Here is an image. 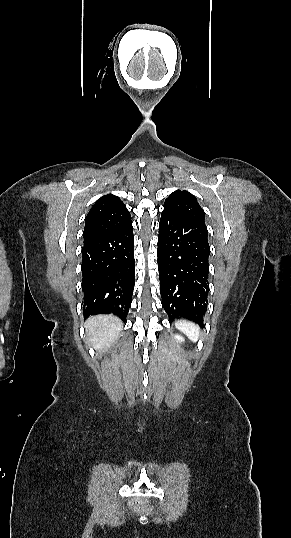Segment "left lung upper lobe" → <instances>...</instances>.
<instances>
[{
    "label": "left lung upper lobe",
    "mask_w": 291,
    "mask_h": 538,
    "mask_svg": "<svg viewBox=\"0 0 291 538\" xmlns=\"http://www.w3.org/2000/svg\"><path fill=\"white\" fill-rule=\"evenodd\" d=\"M181 218L205 224V213L196 198L187 191L177 190L164 202V210Z\"/></svg>",
    "instance_id": "5c2ea615"
}]
</instances>
